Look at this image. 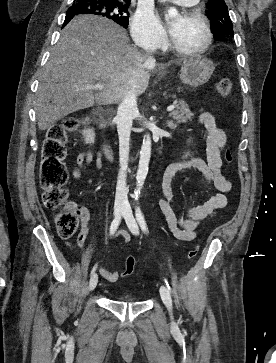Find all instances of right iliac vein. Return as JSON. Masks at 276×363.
Here are the masks:
<instances>
[{
	"label": "right iliac vein",
	"mask_w": 276,
	"mask_h": 363,
	"mask_svg": "<svg viewBox=\"0 0 276 363\" xmlns=\"http://www.w3.org/2000/svg\"><path fill=\"white\" fill-rule=\"evenodd\" d=\"M123 209H124V207L122 205L115 206L114 215L117 217L118 215H120V213L123 211ZM97 282H98V275L94 273L89 282L90 291H93L95 289Z\"/></svg>",
	"instance_id": "obj_1"
}]
</instances>
